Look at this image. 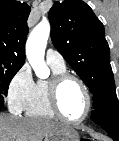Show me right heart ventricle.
Segmentation results:
<instances>
[{
	"label": "right heart ventricle",
	"instance_id": "e07e8e85",
	"mask_svg": "<svg viewBox=\"0 0 119 141\" xmlns=\"http://www.w3.org/2000/svg\"><path fill=\"white\" fill-rule=\"evenodd\" d=\"M49 65L53 71V75L67 72L65 65ZM48 83L49 80H38L35 83L32 96L25 109L26 116L46 119H52L55 117V114L53 113L48 101Z\"/></svg>",
	"mask_w": 119,
	"mask_h": 141
}]
</instances>
